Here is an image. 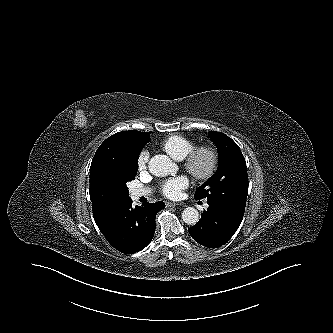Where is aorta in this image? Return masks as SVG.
<instances>
[{
    "mask_svg": "<svg viewBox=\"0 0 333 333\" xmlns=\"http://www.w3.org/2000/svg\"><path fill=\"white\" fill-rule=\"evenodd\" d=\"M149 172L157 177L175 174L178 166L166 155L153 156L148 164ZM182 220L188 225H194L199 220V212L194 207H187L182 212Z\"/></svg>",
    "mask_w": 333,
    "mask_h": 333,
    "instance_id": "1",
    "label": "aorta"
}]
</instances>
